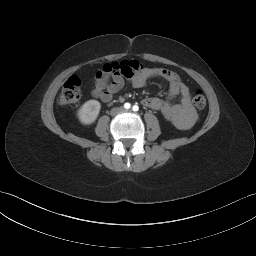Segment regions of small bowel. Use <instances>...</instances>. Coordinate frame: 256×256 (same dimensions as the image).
Here are the masks:
<instances>
[{
	"label": "small bowel",
	"mask_w": 256,
	"mask_h": 256,
	"mask_svg": "<svg viewBox=\"0 0 256 256\" xmlns=\"http://www.w3.org/2000/svg\"><path fill=\"white\" fill-rule=\"evenodd\" d=\"M154 77H161L168 81L166 99L147 97L142 100V104L147 108L159 111L176 128L189 129L195 123L197 115L192 107L189 87L182 82L176 72L160 67L141 66L139 70L126 79L134 88H142L150 78ZM124 85L125 77L120 74L114 75L111 79L97 80L92 89V96L108 103ZM178 95L180 96V103H172L171 100Z\"/></svg>",
	"instance_id": "obj_1"
}]
</instances>
